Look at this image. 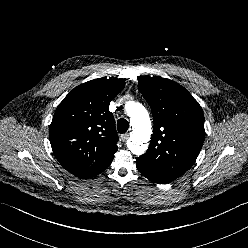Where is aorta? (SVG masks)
<instances>
[{
    "label": "aorta",
    "mask_w": 248,
    "mask_h": 248,
    "mask_svg": "<svg viewBox=\"0 0 248 248\" xmlns=\"http://www.w3.org/2000/svg\"><path fill=\"white\" fill-rule=\"evenodd\" d=\"M126 112L132 126L128 148L133 154L139 156L146 151V143L151 136L150 117L146 108L142 104L136 102H132L127 106Z\"/></svg>",
    "instance_id": "aorta-1"
}]
</instances>
